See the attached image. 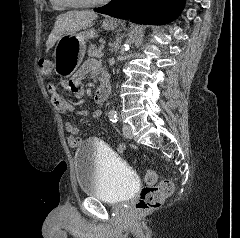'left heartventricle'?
Instances as JSON below:
<instances>
[{
  "mask_svg": "<svg viewBox=\"0 0 240 238\" xmlns=\"http://www.w3.org/2000/svg\"><path fill=\"white\" fill-rule=\"evenodd\" d=\"M67 1H74V2H80V3H91V2H95L97 0H67Z\"/></svg>",
  "mask_w": 240,
  "mask_h": 238,
  "instance_id": "obj_1",
  "label": "left heart ventricle"
}]
</instances>
